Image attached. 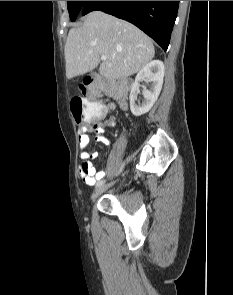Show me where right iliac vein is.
<instances>
[{
  "mask_svg": "<svg viewBox=\"0 0 233 295\" xmlns=\"http://www.w3.org/2000/svg\"><path fill=\"white\" fill-rule=\"evenodd\" d=\"M112 183L106 184L105 180H100L99 182H97L95 190L93 191L92 195H91V199H95L97 196H99L100 194H102L108 187H110Z\"/></svg>",
  "mask_w": 233,
  "mask_h": 295,
  "instance_id": "obj_1",
  "label": "right iliac vein"
}]
</instances>
